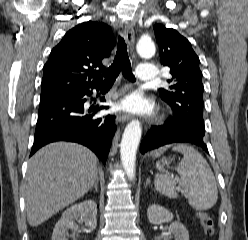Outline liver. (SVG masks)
Instances as JSON below:
<instances>
[{
    "instance_id": "liver-1",
    "label": "liver",
    "mask_w": 248,
    "mask_h": 240,
    "mask_svg": "<svg viewBox=\"0 0 248 240\" xmlns=\"http://www.w3.org/2000/svg\"><path fill=\"white\" fill-rule=\"evenodd\" d=\"M97 158L86 147L51 143L28 161L25 183L27 220L36 227L83 197L97 181Z\"/></svg>"
}]
</instances>
